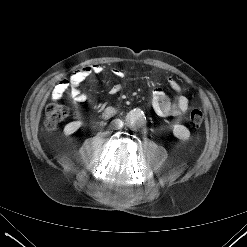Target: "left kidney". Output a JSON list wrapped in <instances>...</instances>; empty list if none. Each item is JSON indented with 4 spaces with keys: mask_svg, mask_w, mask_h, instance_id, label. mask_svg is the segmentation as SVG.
<instances>
[{
    "mask_svg": "<svg viewBox=\"0 0 247 247\" xmlns=\"http://www.w3.org/2000/svg\"><path fill=\"white\" fill-rule=\"evenodd\" d=\"M173 134L175 137L181 140H186L190 136V132L184 125L176 124L173 126Z\"/></svg>",
    "mask_w": 247,
    "mask_h": 247,
    "instance_id": "5707ae66",
    "label": "left kidney"
}]
</instances>
